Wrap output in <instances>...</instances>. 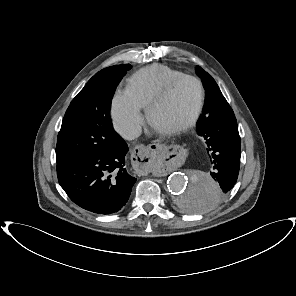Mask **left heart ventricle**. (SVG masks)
Returning a JSON list of instances; mask_svg holds the SVG:
<instances>
[{
	"instance_id": "1",
	"label": "left heart ventricle",
	"mask_w": 296,
	"mask_h": 296,
	"mask_svg": "<svg viewBox=\"0 0 296 296\" xmlns=\"http://www.w3.org/2000/svg\"><path fill=\"white\" fill-rule=\"evenodd\" d=\"M198 87L191 80L177 84L168 98L153 111V123L158 129H169L184 122L198 101Z\"/></svg>"
}]
</instances>
